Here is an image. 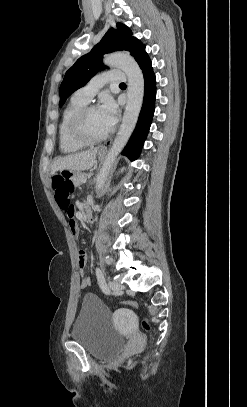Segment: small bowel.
<instances>
[{
	"label": "small bowel",
	"instance_id": "small-bowel-1",
	"mask_svg": "<svg viewBox=\"0 0 247 407\" xmlns=\"http://www.w3.org/2000/svg\"><path fill=\"white\" fill-rule=\"evenodd\" d=\"M64 212V215L66 216L67 220H68V225L70 227V230L72 232L73 235H77L78 234V224H77V220H76V210H75V206L72 202H70V204L68 205V207L66 209H62ZM86 261H87V253L85 250H81L78 253V265L81 269V285L82 287H87L90 285V278L88 276L85 275L84 273V267L86 265Z\"/></svg>",
	"mask_w": 247,
	"mask_h": 407
}]
</instances>
